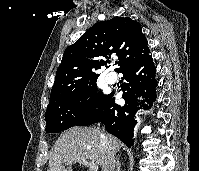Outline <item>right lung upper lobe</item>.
I'll list each match as a JSON object with an SVG mask.
<instances>
[{"label":"right lung upper lobe","mask_w":199,"mask_h":171,"mask_svg":"<svg viewBox=\"0 0 199 171\" xmlns=\"http://www.w3.org/2000/svg\"><path fill=\"white\" fill-rule=\"evenodd\" d=\"M150 55L141 25L124 17L95 24L64 52L51 90L53 103L73 94L85 85L96 82L95 71L117 56V72Z\"/></svg>","instance_id":"1"}]
</instances>
